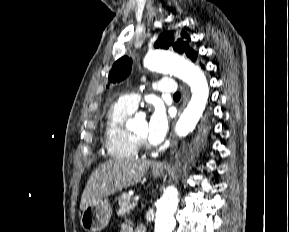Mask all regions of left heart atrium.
<instances>
[{
    "label": "left heart atrium",
    "mask_w": 289,
    "mask_h": 232,
    "mask_svg": "<svg viewBox=\"0 0 289 232\" xmlns=\"http://www.w3.org/2000/svg\"><path fill=\"white\" fill-rule=\"evenodd\" d=\"M169 120L165 109L155 105L147 121V139L152 144H160L166 137Z\"/></svg>",
    "instance_id": "1"
}]
</instances>
